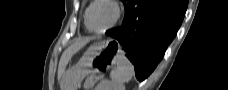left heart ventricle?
I'll return each mask as SVG.
<instances>
[{
    "label": "left heart ventricle",
    "instance_id": "1",
    "mask_svg": "<svg viewBox=\"0 0 228 90\" xmlns=\"http://www.w3.org/2000/svg\"><path fill=\"white\" fill-rule=\"evenodd\" d=\"M114 9L106 3L96 4L90 11V25L95 30H101L110 24L114 18Z\"/></svg>",
    "mask_w": 228,
    "mask_h": 90
}]
</instances>
